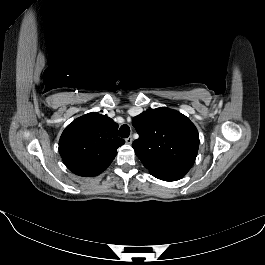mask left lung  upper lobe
Returning a JSON list of instances; mask_svg holds the SVG:
<instances>
[{
	"label": "left lung upper lobe",
	"instance_id": "left-lung-upper-lobe-1",
	"mask_svg": "<svg viewBox=\"0 0 265 265\" xmlns=\"http://www.w3.org/2000/svg\"><path fill=\"white\" fill-rule=\"evenodd\" d=\"M132 124L139 134L132 147L147 169L195 161L199 148L198 131L180 112L165 107L150 109L134 117Z\"/></svg>",
	"mask_w": 265,
	"mask_h": 265
}]
</instances>
